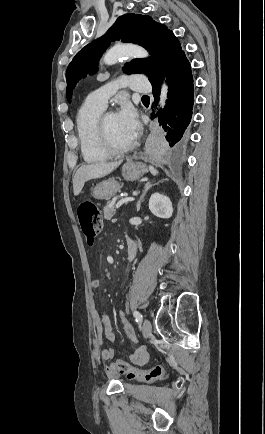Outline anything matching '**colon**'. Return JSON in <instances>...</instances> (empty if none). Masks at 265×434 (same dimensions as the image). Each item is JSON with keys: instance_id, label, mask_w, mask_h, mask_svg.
Instances as JSON below:
<instances>
[{"instance_id": "colon-1", "label": "colon", "mask_w": 265, "mask_h": 434, "mask_svg": "<svg viewBox=\"0 0 265 434\" xmlns=\"http://www.w3.org/2000/svg\"><path fill=\"white\" fill-rule=\"evenodd\" d=\"M77 218L80 224V228L87 244H92L97 238L101 223L102 213L101 210L91 200H86L77 205L76 208ZM115 362H120V357H115ZM120 370L128 375L129 379L136 375L145 381L149 382L155 379H159L165 375V368L163 366H156L150 370L132 368L127 363L118 364Z\"/></svg>"}]
</instances>
